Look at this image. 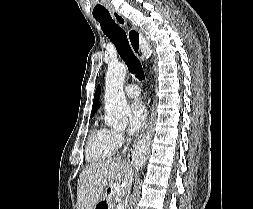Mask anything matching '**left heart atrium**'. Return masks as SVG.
<instances>
[{
	"label": "left heart atrium",
	"instance_id": "obj_1",
	"mask_svg": "<svg viewBox=\"0 0 253 209\" xmlns=\"http://www.w3.org/2000/svg\"><path fill=\"white\" fill-rule=\"evenodd\" d=\"M147 108L142 101H135L130 107L129 132L138 133L145 125L147 119Z\"/></svg>",
	"mask_w": 253,
	"mask_h": 209
}]
</instances>
